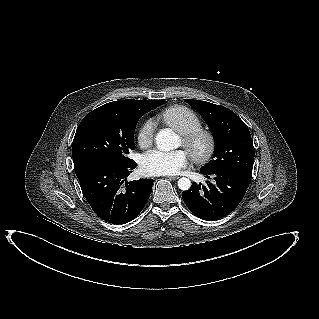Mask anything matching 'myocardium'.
<instances>
[{"mask_svg": "<svg viewBox=\"0 0 319 319\" xmlns=\"http://www.w3.org/2000/svg\"><path fill=\"white\" fill-rule=\"evenodd\" d=\"M182 144L198 164L211 160L216 150V139L211 131L199 127L181 134Z\"/></svg>", "mask_w": 319, "mask_h": 319, "instance_id": "1", "label": "myocardium"}]
</instances>
